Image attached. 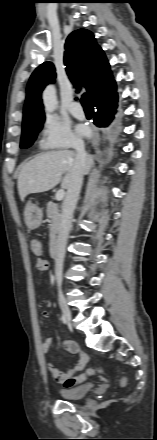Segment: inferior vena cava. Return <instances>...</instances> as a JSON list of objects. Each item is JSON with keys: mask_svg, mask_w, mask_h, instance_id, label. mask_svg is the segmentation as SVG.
<instances>
[{"mask_svg": "<svg viewBox=\"0 0 157 440\" xmlns=\"http://www.w3.org/2000/svg\"><path fill=\"white\" fill-rule=\"evenodd\" d=\"M73 148L76 151L75 171L73 179L67 189L66 198L63 202L61 222L55 250V278L59 289L61 288L62 284V271L66 244L71 229L73 213L79 199L83 182V168L86 158V151L84 148V142L82 140L74 141Z\"/></svg>", "mask_w": 157, "mask_h": 440, "instance_id": "inferior-vena-cava-1", "label": "inferior vena cava"}]
</instances>
